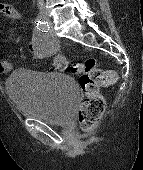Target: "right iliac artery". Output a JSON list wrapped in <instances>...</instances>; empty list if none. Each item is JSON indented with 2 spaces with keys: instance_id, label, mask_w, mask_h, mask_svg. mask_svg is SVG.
<instances>
[{
  "instance_id": "right-iliac-artery-1",
  "label": "right iliac artery",
  "mask_w": 143,
  "mask_h": 170,
  "mask_svg": "<svg viewBox=\"0 0 143 170\" xmlns=\"http://www.w3.org/2000/svg\"><path fill=\"white\" fill-rule=\"evenodd\" d=\"M36 27L41 32H48V30L50 28L48 22H46L45 20H43L41 18H38Z\"/></svg>"
}]
</instances>
